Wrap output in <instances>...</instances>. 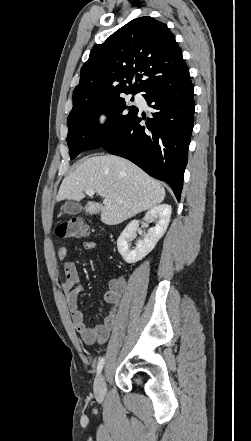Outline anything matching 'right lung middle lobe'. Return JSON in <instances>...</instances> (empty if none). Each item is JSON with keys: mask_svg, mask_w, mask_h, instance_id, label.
Segmentation results:
<instances>
[{"mask_svg": "<svg viewBox=\"0 0 251 441\" xmlns=\"http://www.w3.org/2000/svg\"><path fill=\"white\" fill-rule=\"evenodd\" d=\"M137 111L138 108L130 105L123 96L73 103L67 119L70 157L75 158L82 151L100 148L109 138L117 135ZM101 113L108 116L103 126L98 124Z\"/></svg>", "mask_w": 251, "mask_h": 441, "instance_id": "obj_1", "label": "right lung middle lobe"}]
</instances>
